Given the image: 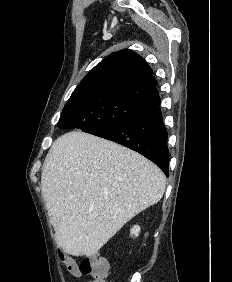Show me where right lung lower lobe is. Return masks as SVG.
Here are the masks:
<instances>
[{
    "instance_id": "obj_1",
    "label": "right lung lower lobe",
    "mask_w": 232,
    "mask_h": 282,
    "mask_svg": "<svg viewBox=\"0 0 232 282\" xmlns=\"http://www.w3.org/2000/svg\"><path fill=\"white\" fill-rule=\"evenodd\" d=\"M158 104L152 111L111 127H99L87 133L114 141L139 152L157 164L169 176L167 131Z\"/></svg>"
}]
</instances>
